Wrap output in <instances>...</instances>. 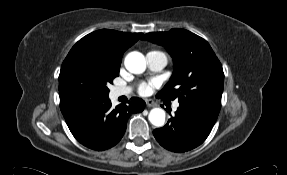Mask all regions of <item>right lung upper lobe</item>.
<instances>
[{"instance_id": "right-lung-upper-lobe-1", "label": "right lung upper lobe", "mask_w": 287, "mask_h": 175, "mask_svg": "<svg viewBox=\"0 0 287 175\" xmlns=\"http://www.w3.org/2000/svg\"><path fill=\"white\" fill-rule=\"evenodd\" d=\"M142 33H125L102 29L92 32L79 40L65 58L61 70L71 57L81 49H86L90 57L107 68H120L123 53L131 47Z\"/></svg>"}]
</instances>
